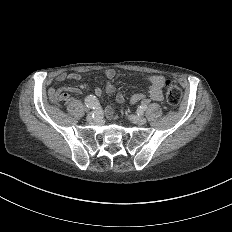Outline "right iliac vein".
Segmentation results:
<instances>
[{
	"label": "right iliac vein",
	"instance_id": "obj_1",
	"mask_svg": "<svg viewBox=\"0 0 232 232\" xmlns=\"http://www.w3.org/2000/svg\"><path fill=\"white\" fill-rule=\"evenodd\" d=\"M91 119H92V115H91V114H88L87 117H86V122H87V123H90V122H91Z\"/></svg>",
	"mask_w": 232,
	"mask_h": 232
}]
</instances>
